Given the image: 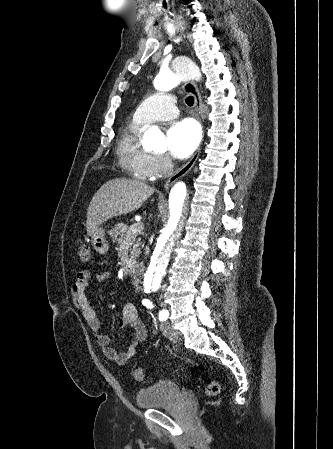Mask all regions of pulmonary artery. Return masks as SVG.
Returning a JSON list of instances; mask_svg holds the SVG:
<instances>
[{"instance_id":"obj_1","label":"pulmonary artery","mask_w":333,"mask_h":449,"mask_svg":"<svg viewBox=\"0 0 333 449\" xmlns=\"http://www.w3.org/2000/svg\"><path fill=\"white\" fill-rule=\"evenodd\" d=\"M178 115L174 96L157 93L145 99L136 109L134 119L148 125L155 121H165Z\"/></svg>"}]
</instances>
